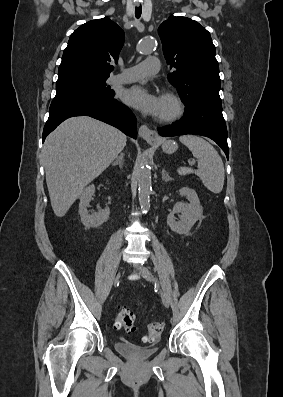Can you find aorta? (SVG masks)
Returning <instances> with one entry per match:
<instances>
[{
    "mask_svg": "<svg viewBox=\"0 0 283 397\" xmlns=\"http://www.w3.org/2000/svg\"><path fill=\"white\" fill-rule=\"evenodd\" d=\"M156 41L153 38H146L142 40L138 46L137 50L140 53H150L155 47ZM138 198L141 209L146 212L150 207V193L152 189L151 182V171L149 166V161L144 158L140 165V170L138 174Z\"/></svg>",
    "mask_w": 283,
    "mask_h": 397,
    "instance_id": "aorta-1",
    "label": "aorta"
}]
</instances>
